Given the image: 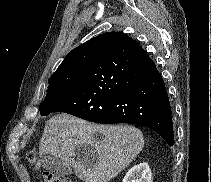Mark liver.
Instances as JSON below:
<instances>
[{
    "instance_id": "liver-1",
    "label": "liver",
    "mask_w": 211,
    "mask_h": 182,
    "mask_svg": "<svg viewBox=\"0 0 211 182\" xmlns=\"http://www.w3.org/2000/svg\"><path fill=\"white\" fill-rule=\"evenodd\" d=\"M97 132L102 135L101 139L95 136ZM78 145L93 148L97 159L82 161L76 156ZM143 147V134L133 126L94 125L62 113L47 121L39 143V155L60 158L84 182H108L124 170Z\"/></svg>"
}]
</instances>
